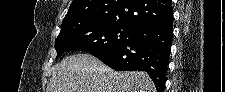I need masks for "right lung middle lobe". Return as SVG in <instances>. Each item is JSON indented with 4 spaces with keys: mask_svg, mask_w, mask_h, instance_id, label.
I'll return each mask as SVG.
<instances>
[{
    "mask_svg": "<svg viewBox=\"0 0 225 92\" xmlns=\"http://www.w3.org/2000/svg\"><path fill=\"white\" fill-rule=\"evenodd\" d=\"M135 28L118 22H82L60 31L55 40L57 58L64 52L94 53L128 40Z\"/></svg>",
    "mask_w": 225,
    "mask_h": 92,
    "instance_id": "1",
    "label": "right lung middle lobe"
}]
</instances>
